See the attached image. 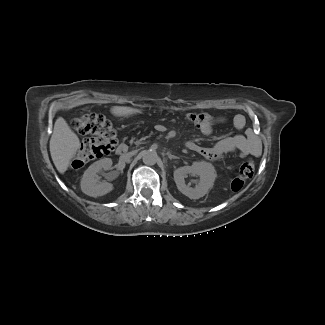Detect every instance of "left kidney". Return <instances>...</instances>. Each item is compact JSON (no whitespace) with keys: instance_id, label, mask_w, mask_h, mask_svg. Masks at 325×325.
I'll list each match as a JSON object with an SVG mask.
<instances>
[{"instance_id":"obj_1","label":"left kidney","mask_w":325,"mask_h":325,"mask_svg":"<svg viewBox=\"0 0 325 325\" xmlns=\"http://www.w3.org/2000/svg\"><path fill=\"white\" fill-rule=\"evenodd\" d=\"M188 174L198 175L200 178L194 188L185 183ZM216 177L214 166L206 161L194 162L191 166H183L174 171V181L178 190L190 199H199L206 195L213 187Z\"/></svg>"}]
</instances>
